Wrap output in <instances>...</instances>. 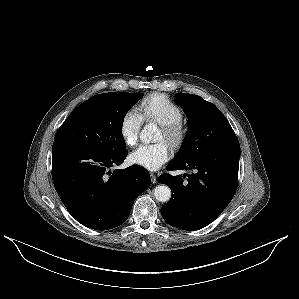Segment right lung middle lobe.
<instances>
[{
	"instance_id": "1",
	"label": "right lung middle lobe",
	"mask_w": 299,
	"mask_h": 299,
	"mask_svg": "<svg viewBox=\"0 0 299 299\" xmlns=\"http://www.w3.org/2000/svg\"><path fill=\"white\" fill-rule=\"evenodd\" d=\"M144 94L110 92L79 105L57 132L54 143H68L92 151L117 155L126 151L123 119Z\"/></svg>"
}]
</instances>
